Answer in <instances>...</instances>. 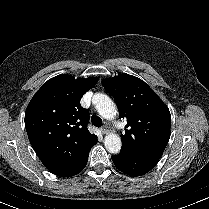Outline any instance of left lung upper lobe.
Masks as SVG:
<instances>
[{
    "instance_id": "obj_1",
    "label": "left lung upper lobe",
    "mask_w": 209,
    "mask_h": 209,
    "mask_svg": "<svg viewBox=\"0 0 209 209\" xmlns=\"http://www.w3.org/2000/svg\"><path fill=\"white\" fill-rule=\"evenodd\" d=\"M127 120L121 151L160 159L170 138L168 107L141 79L121 74L102 81Z\"/></svg>"
}]
</instances>
